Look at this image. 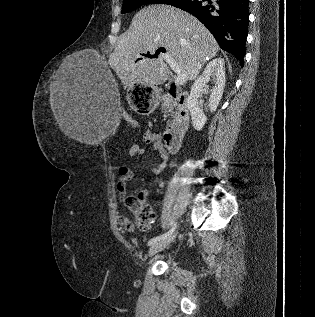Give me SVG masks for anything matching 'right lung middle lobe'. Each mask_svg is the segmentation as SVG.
Segmentation results:
<instances>
[{
  "mask_svg": "<svg viewBox=\"0 0 315 317\" xmlns=\"http://www.w3.org/2000/svg\"><path fill=\"white\" fill-rule=\"evenodd\" d=\"M178 0H123L122 14L133 11L134 9L147 4H168L172 5Z\"/></svg>",
  "mask_w": 315,
  "mask_h": 317,
  "instance_id": "1",
  "label": "right lung middle lobe"
}]
</instances>
